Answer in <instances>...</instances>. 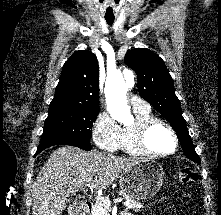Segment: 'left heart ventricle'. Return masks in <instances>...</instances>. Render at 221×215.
<instances>
[{"label": "left heart ventricle", "instance_id": "left-heart-ventricle-1", "mask_svg": "<svg viewBox=\"0 0 221 215\" xmlns=\"http://www.w3.org/2000/svg\"><path fill=\"white\" fill-rule=\"evenodd\" d=\"M148 146L155 152H169L174 148V140L164 126L154 127L147 137Z\"/></svg>", "mask_w": 221, "mask_h": 215}]
</instances>
